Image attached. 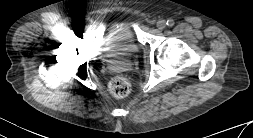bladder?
<instances>
[{"mask_svg":"<svg viewBox=\"0 0 253 138\" xmlns=\"http://www.w3.org/2000/svg\"><path fill=\"white\" fill-rule=\"evenodd\" d=\"M140 44L134 29L129 25H117L106 30L100 43V51L120 60L135 57Z\"/></svg>","mask_w":253,"mask_h":138,"instance_id":"bladder-1","label":"bladder"}]
</instances>
